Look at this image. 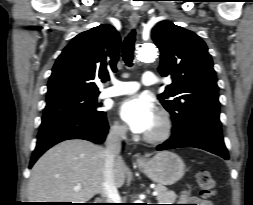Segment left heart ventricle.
I'll return each instance as SVG.
<instances>
[{"label": "left heart ventricle", "mask_w": 253, "mask_h": 205, "mask_svg": "<svg viewBox=\"0 0 253 205\" xmlns=\"http://www.w3.org/2000/svg\"><path fill=\"white\" fill-rule=\"evenodd\" d=\"M159 123H158V119L156 120L155 124L153 125V127L151 128V130L148 133H153L158 129Z\"/></svg>", "instance_id": "1"}]
</instances>
